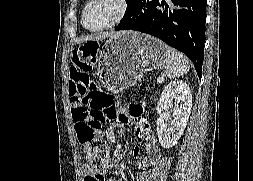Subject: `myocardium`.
Segmentation results:
<instances>
[{
  "mask_svg": "<svg viewBox=\"0 0 253 181\" xmlns=\"http://www.w3.org/2000/svg\"><path fill=\"white\" fill-rule=\"evenodd\" d=\"M92 2H94V0H87L84 4V7L81 13L82 26L90 32H101L118 25L127 16L130 10V0H118L119 8L116 14L114 15V17L107 24H105L104 26L100 28H90L85 23V15H86V11L88 7L90 6Z\"/></svg>",
  "mask_w": 253,
  "mask_h": 181,
  "instance_id": "1",
  "label": "myocardium"
}]
</instances>
